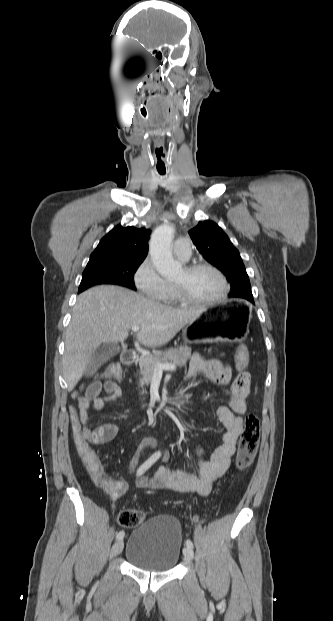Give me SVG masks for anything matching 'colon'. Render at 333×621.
Returning a JSON list of instances; mask_svg holds the SVG:
<instances>
[{"label":"colon","mask_w":333,"mask_h":621,"mask_svg":"<svg viewBox=\"0 0 333 621\" xmlns=\"http://www.w3.org/2000/svg\"><path fill=\"white\" fill-rule=\"evenodd\" d=\"M248 360L249 354L246 346H239L236 354L237 375L246 371L245 369L247 367ZM104 375L113 377L116 380H121L122 370L118 364L112 363L105 368ZM70 415L75 449L84 468L94 483L110 494L112 492V481L108 479L103 467L96 457V454L89 446L88 440L84 437L82 425L78 419L76 411L71 409ZM259 441V420L255 415L249 414L245 419L244 429L239 440V448L236 459V466L239 470H246L251 466L258 450ZM144 519V513L136 509H125L118 515V523L120 526L125 528L135 527L141 524Z\"/></svg>","instance_id":"5ec220e1"}]
</instances>
